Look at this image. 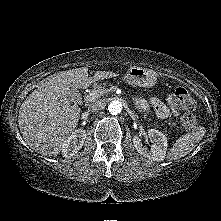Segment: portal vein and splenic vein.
Here are the masks:
<instances>
[{"instance_id": "18ae733b", "label": "portal vein and splenic vein", "mask_w": 221, "mask_h": 221, "mask_svg": "<svg viewBox=\"0 0 221 221\" xmlns=\"http://www.w3.org/2000/svg\"><path fill=\"white\" fill-rule=\"evenodd\" d=\"M108 91H111V89H109V90H102V89H101V90L94 91V92L90 93V94L87 96V99H88L89 101H92V100H94L95 98L104 95V93H106V92H108Z\"/></svg>"}]
</instances>
